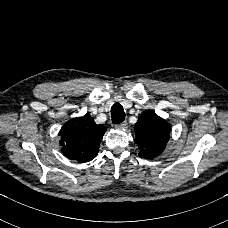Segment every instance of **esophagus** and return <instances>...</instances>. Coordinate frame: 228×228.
Returning <instances> with one entry per match:
<instances>
[{
    "instance_id": "esophagus-1",
    "label": "esophagus",
    "mask_w": 228,
    "mask_h": 228,
    "mask_svg": "<svg viewBox=\"0 0 228 228\" xmlns=\"http://www.w3.org/2000/svg\"><path fill=\"white\" fill-rule=\"evenodd\" d=\"M127 126H128L127 121H123L117 125V127L119 128H127Z\"/></svg>"
}]
</instances>
